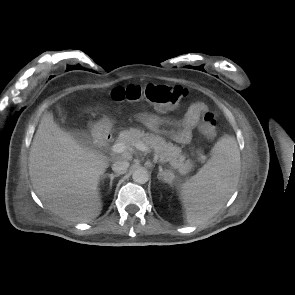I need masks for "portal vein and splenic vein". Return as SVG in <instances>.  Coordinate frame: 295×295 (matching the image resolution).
Wrapping results in <instances>:
<instances>
[{
	"label": "portal vein and splenic vein",
	"instance_id": "obj_1",
	"mask_svg": "<svg viewBox=\"0 0 295 295\" xmlns=\"http://www.w3.org/2000/svg\"><path fill=\"white\" fill-rule=\"evenodd\" d=\"M134 146L141 151L150 152V148L143 143H136L134 144ZM126 149H127V144L123 142L116 143L112 146V151L114 153H123L126 151Z\"/></svg>",
	"mask_w": 295,
	"mask_h": 295
}]
</instances>
